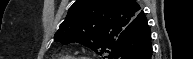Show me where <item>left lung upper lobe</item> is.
<instances>
[{
    "mask_svg": "<svg viewBox=\"0 0 193 59\" xmlns=\"http://www.w3.org/2000/svg\"><path fill=\"white\" fill-rule=\"evenodd\" d=\"M142 15L134 0H76L54 40L63 44L78 42L105 55Z\"/></svg>",
    "mask_w": 193,
    "mask_h": 59,
    "instance_id": "1",
    "label": "left lung upper lobe"
}]
</instances>
